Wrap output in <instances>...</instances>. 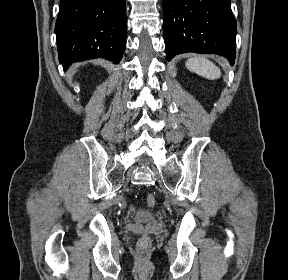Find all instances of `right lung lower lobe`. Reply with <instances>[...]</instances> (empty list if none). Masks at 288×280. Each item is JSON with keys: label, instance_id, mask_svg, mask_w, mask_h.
<instances>
[{"label": "right lung lower lobe", "instance_id": "obj_1", "mask_svg": "<svg viewBox=\"0 0 288 280\" xmlns=\"http://www.w3.org/2000/svg\"><path fill=\"white\" fill-rule=\"evenodd\" d=\"M126 0H61L55 33L64 70L105 58L118 64L126 46Z\"/></svg>", "mask_w": 288, "mask_h": 280}]
</instances>
